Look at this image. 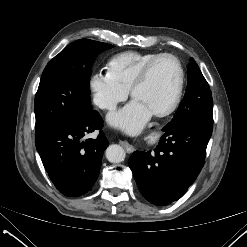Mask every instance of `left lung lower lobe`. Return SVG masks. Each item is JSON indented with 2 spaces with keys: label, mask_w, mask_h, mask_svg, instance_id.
Segmentation results:
<instances>
[{
  "label": "left lung lower lobe",
  "mask_w": 247,
  "mask_h": 247,
  "mask_svg": "<svg viewBox=\"0 0 247 247\" xmlns=\"http://www.w3.org/2000/svg\"><path fill=\"white\" fill-rule=\"evenodd\" d=\"M212 125L188 119L165 130L158 147L135 151L129 160L141 194L155 205L181 198L200 173Z\"/></svg>",
  "instance_id": "left-lung-lower-lobe-1"
}]
</instances>
